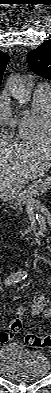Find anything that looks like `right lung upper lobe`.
<instances>
[{
	"label": "right lung upper lobe",
	"instance_id": "right-lung-upper-lobe-1",
	"mask_svg": "<svg viewBox=\"0 0 51 393\" xmlns=\"http://www.w3.org/2000/svg\"><path fill=\"white\" fill-rule=\"evenodd\" d=\"M9 59L10 57L6 53L0 51V83Z\"/></svg>",
	"mask_w": 51,
	"mask_h": 393
}]
</instances>
